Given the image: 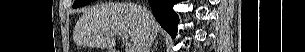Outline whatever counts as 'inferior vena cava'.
I'll return each instance as SVG.
<instances>
[{"label": "inferior vena cava", "instance_id": "obj_1", "mask_svg": "<svg viewBox=\"0 0 305 52\" xmlns=\"http://www.w3.org/2000/svg\"><path fill=\"white\" fill-rule=\"evenodd\" d=\"M139 10L146 24V30L143 37L140 39L139 43L136 45V52H150L151 44L154 40V33L150 29L148 23L150 19V13L147 11L146 7L139 6Z\"/></svg>", "mask_w": 305, "mask_h": 52}]
</instances>
